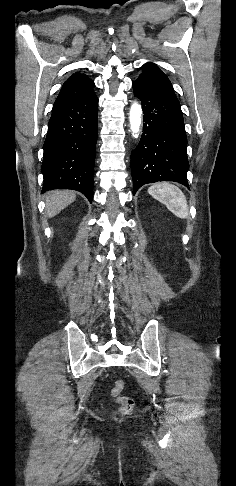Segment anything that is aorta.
Instances as JSON below:
<instances>
[{
    "label": "aorta",
    "instance_id": "aorta-1",
    "mask_svg": "<svg viewBox=\"0 0 236 486\" xmlns=\"http://www.w3.org/2000/svg\"><path fill=\"white\" fill-rule=\"evenodd\" d=\"M141 113V106L136 102L133 103L129 112L130 128L133 134H137L140 131L142 122Z\"/></svg>",
    "mask_w": 236,
    "mask_h": 486
}]
</instances>
